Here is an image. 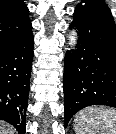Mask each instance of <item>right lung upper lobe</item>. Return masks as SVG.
I'll list each match as a JSON object with an SVG mask.
<instances>
[{"mask_svg": "<svg viewBox=\"0 0 116 134\" xmlns=\"http://www.w3.org/2000/svg\"><path fill=\"white\" fill-rule=\"evenodd\" d=\"M23 0H0V51L32 29Z\"/></svg>", "mask_w": 116, "mask_h": 134, "instance_id": "obj_1", "label": "right lung upper lobe"}]
</instances>
